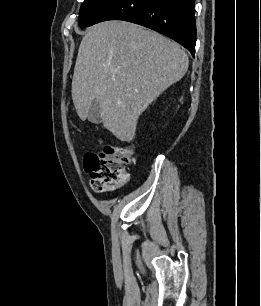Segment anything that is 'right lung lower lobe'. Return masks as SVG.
Wrapping results in <instances>:
<instances>
[{"label":"right lung lower lobe","mask_w":261,"mask_h":306,"mask_svg":"<svg viewBox=\"0 0 261 306\" xmlns=\"http://www.w3.org/2000/svg\"><path fill=\"white\" fill-rule=\"evenodd\" d=\"M195 0H114L88 26L123 20L162 33L195 54Z\"/></svg>","instance_id":"1"}]
</instances>
